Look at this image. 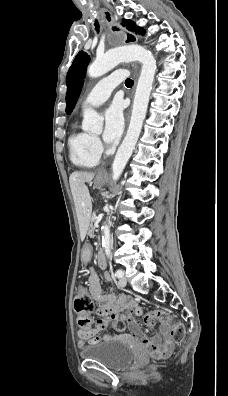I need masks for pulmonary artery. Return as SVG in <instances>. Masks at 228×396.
<instances>
[{
    "label": "pulmonary artery",
    "mask_w": 228,
    "mask_h": 396,
    "mask_svg": "<svg viewBox=\"0 0 228 396\" xmlns=\"http://www.w3.org/2000/svg\"><path fill=\"white\" fill-rule=\"evenodd\" d=\"M126 71L118 70L100 80L85 97L82 107H97L103 104L110 96L114 88L125 78Z\"/></svg>",
    "instance_id": "obj_1"
}]
</instances>
